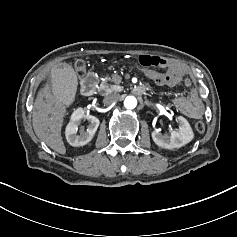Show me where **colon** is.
<instances>
[{
	"label": "colon",
	"mask_w": 237,
	"mask_h": 237,
	"mask_svg": "<svg viewBox=\"0 0 237 237\" xmlns=\"http://www.w3.org/2000/svg\"><path fill=\"white\" fill-rule=\"evenodd\" d=\"M138 61L144 69L164 68L167 65L166 59L160 56L141 55ZM74 67L78 75H83L85 73L86 64L83 60H77L74 64ZM175 78L176 76L173 74L159 72V75L154 79V82L159 85H169L175 80ZM205 128V124L202 121L196 122L195 129L197 132L203 133Z\"/></svg>",
	"instance_id": "1"
}]
</instances>
